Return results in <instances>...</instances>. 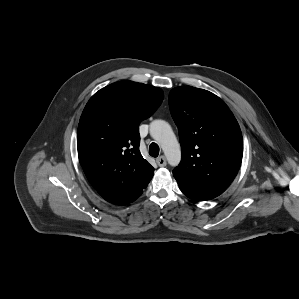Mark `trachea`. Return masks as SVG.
I'll list each match as a JSON object with an SVG mask.
<instances>
[{
    "label": "trachea",
    "mask_w": 299,
    "mask_h": 299,
    "mask_svg": "<svg viewBox=\"0 0 299 299\" xmlns=\"http://www.w3.org/2000/svg\"><path fill=\"white\" fill-rule=\"evenodd\" d=\"M149 154L152 157H158L159 155V146L156 143H151L149 146Z\"/></svg>",
    "instance_id": "obj_1"
}]
</instances>
